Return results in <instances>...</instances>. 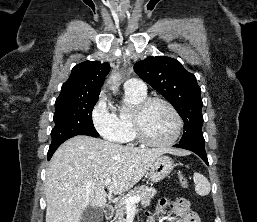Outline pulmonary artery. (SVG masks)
Here are the masks:
<instances>
[{"label":"pulmonary artery","mask_w":257,"mask_h":222,"mask_svg":"<svg viewBox=\"0 0 257 222\" xmlns=\"http://www.w3.org/2000/svg\"><path fill=\"white\" fill-rule=\"evenodd\" d=\"M124 87L126 90L132 91V92H137V93H146V84L138 78H131L128 79Z\"/></svg>","instance_id":"e3ab8cb5"}]
</instances>
